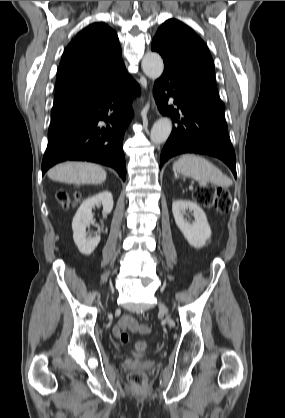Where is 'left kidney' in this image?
I'll return each mask as SVG.
<instances>
[{
    "mask_svg": "<svg viewBox=\"0 0 285 418\" xmlns=\"http://www.w3.org/2000/svg\"><path fill=\"white\" fill-rule=\"evenodd\" d=\"M187 211L193 212L194 221L189 222L184 218ZM172 212L176 225L188 243L195 248L203 247L211 236V229L201 207L190 200H176L172 203Z\"/></svg>",
    "mask_w": 285,
    "mask_h": 418,
    "instance_id": "left-kidney-1",
    "label": "left kidney"
}]
</instances>
